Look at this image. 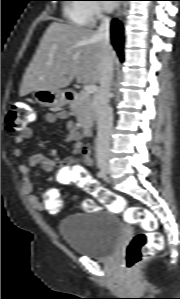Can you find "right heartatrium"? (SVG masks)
<instances>
[{"instance_id":"right-heart-atrium-1","label":"right heart atrium","mask_w":180,"mask_h":299,"mask_svg":"<svg viewBox=\"0 0 180 299\" xmlns=\"http://www.w3.org/2000/svg\"><path fill=\"white\" fill-rule=\"evenodd\" d=\"M93 4H89L87 7V11L93 20L101 19L104 15V10L99 1H92Z\"/></svg>"}]
</instances>
